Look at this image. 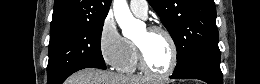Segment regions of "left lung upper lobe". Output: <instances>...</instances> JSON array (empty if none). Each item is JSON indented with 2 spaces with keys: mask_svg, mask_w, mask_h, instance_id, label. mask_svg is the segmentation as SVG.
<instances>
[{
  "mask_svg": "<svg viewBox=\"0 0 260 84\" xmlns=\"http://www.w3.org/2000/svg\"><path fill=\"white\" fill-rule=\"evenodd\" d=\"M177 49L174 73L203 56L220 53L213 0H148Z\"/></svg>",
  "mask_w": 260,
  "mask_h": 84,
  "instance_id": "5c2ea615",
  "label": "left lung upper lobe"
}]
</instances>
